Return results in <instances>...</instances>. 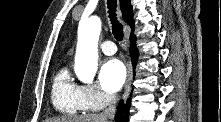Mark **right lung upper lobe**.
<instances>
[{
  "mask_svg": "<svg viewBox=\"0 0 221 122\" xmlns=\"http://www.w3.org/2000/svg\"><path fill=\"white\" fill-rule=\"evenodd\" d=\"M120 9L124 21L131 27L132 32L134 31L133 11L130 4V0H120Z\"/></svg>",
  "mask_w": 221,
  "mask_h": 122,
  "instance_id": "right-lung-upper-lobe-1",
  "label": "right lung upper lobe"
}]
</instances>
